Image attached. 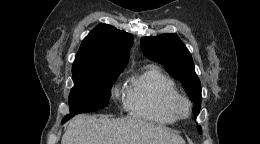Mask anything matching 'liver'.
<instances>
[{"instance_id": "1", "label": "liver", "mask_w": 260, "mask_h": 144, "mask_svg": "<svg viewBox=\"0 0 260 144\" xmlns=\"http://www.w3.org/2000/svg\"><path fill=\"white\" fill-rule=\"evenodd\" d=\"M61 144H185V141L163 126L134 117L78 115L70 121Z\"/></svg>"}]
</instances>
